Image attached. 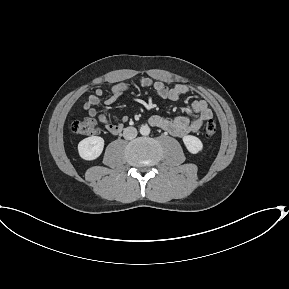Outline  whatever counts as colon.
I'll return each instance as SVG.
<instances>
[{
	"instance_id": "obj_1",
	"label": "colon",
	"mask_w": 289,
	"mask_h": 289,
	"mask_svg": "<svg viewBox=\"0 0 289 289\" xmlns=\"http://www.w3.org/2000/svg\"><path fill=\"white\" fill-rule=\"evenodd\" d=\"M71 130L78 135L93 136L98 133L96 121L92 118L76 120L71 124ZM217 131V126L214 120L209 119L204 127V137L212 139Z\"/></svg>"
}]
</instances>
